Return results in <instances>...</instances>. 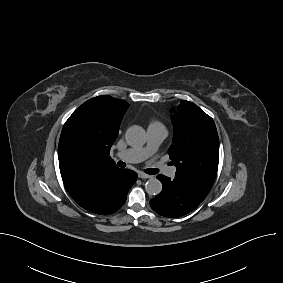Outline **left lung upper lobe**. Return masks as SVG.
Returning <instances> with one entry per match:
<instances>
[{"label":"left lung upper lobe","instance_id":"left-lung-upper-lobe-1","mask_svg":"<svg viewBox=\"0 0 283 283\" xmlns=\"http://www.w3.org/2000/svg\"><path fill=\"white\" fill-rule=\"evenodd\" d=\"M172 115L173 143L168 153L177 167L175 178L206 197L216 178L219 138L213 119L197 105L181 101Z\"/></svg>","mask_w":283,"mask_h":283}]
</instances>
